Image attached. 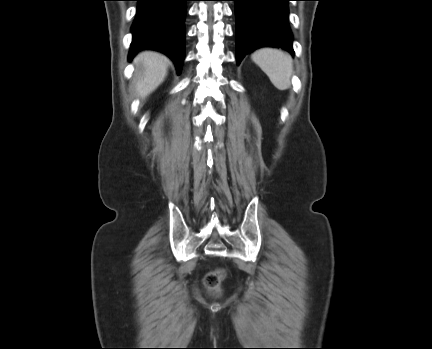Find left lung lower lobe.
Instances as JSON below:
<instances>
[{
	"label": "left lung lower lobe",
	"mask_w": 432,
	"mask_h": 349,
	"mask_svg": "<svg viewBox=\"0 0 432 349\" xmlns=\"http://www.w3.org/2000/svg\"><path fill=\"white\" fill-rule=\"evenodd\" d=\"M237 20V64L258 48L281 47L294 53L288 26L290 0H232Z\"/></svg>",
	"instance_id": "0a47b994"
}]
</instances>
